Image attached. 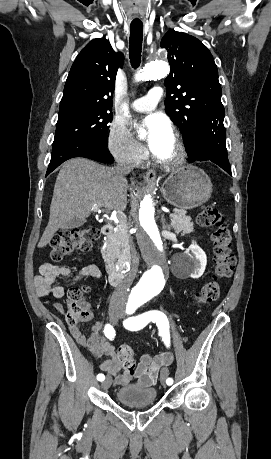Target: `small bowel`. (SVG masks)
<instances>
[{
    "label": "small bowel",
    "instance_id": "small-bowel-1",
    "mask_svg": "<svg viewBox=\"0 0 271 459\" xmlns=\"http://www.w3.org/2000/svg\"><path fill=\"white\" fill-rule=\"evenodd\" d=\"M72 275V271L66 266H55L45 263L40 268V273L35 279V286L40 297L52 295L56 298H62L65 295V288L57 285L60 278ZM88 276L95 279L100 278L101 272L96 265H88L82 268L77 274L72 276L74 281ZM55 310L64 314L61 304H53ZM85 322H91V332L89 335L82 333L77 325H70L69 331L75 340L83 347L88 349L96 357H104L100 364V369L111 378L114 385L123 386L131 381L142 387L154 386L157 382L158 374L163 366L172 362V354L163 353L156 356L145 354L141 357L137 367L132 370H126L121 364L115 347L109 342L101 332L102 323L97 320L90 312L89 315L82 319Z\"/></svg>",
    "mask_w": 271,
    "mask_h": 459
}]
</instances>
